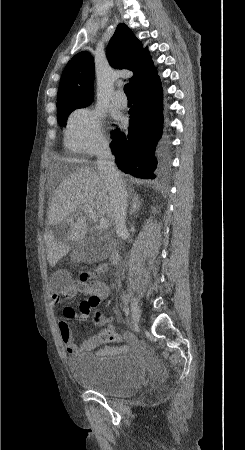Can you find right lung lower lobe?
I'll return each instance as SVG.
<instances>
[{"label":"right lung lower lobe","mask_w":245,"mask_h":450,"mask_svg":"<svg viewBox=\"0 0 245 450\" xmlns=\"http://www.w3.org/2000/svg\"><path fill=\"white\" fill-rule=\"evenodd\" d=\"M134 105L130 109L127 134L113 132L111 148L117 166L138 178L154 179L168 167L167 139L162 134L163 92L154 68L132 88Z\"/></svg>","instance_id":"98d812e1"}]
</instances>
